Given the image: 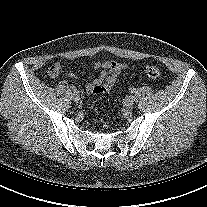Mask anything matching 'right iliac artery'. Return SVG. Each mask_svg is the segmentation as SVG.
Wrapping results in <instances>:
<instances>
[{
	"label": "right iliac artery",
	"mask_w": 207,
	"mask_h": 207,
	"mask_svg": "<svg viewBox=\"0 0 207 207\" xmlns=\"http://www.w3.org/2000/svg\"><path fill=\"white\" fill-rule=\"evenodd\" d=\"M71 90L76 92V88L75 87H71Z\"/></svg>",
	"instance_id": "obj_1"
}]
</instances>
